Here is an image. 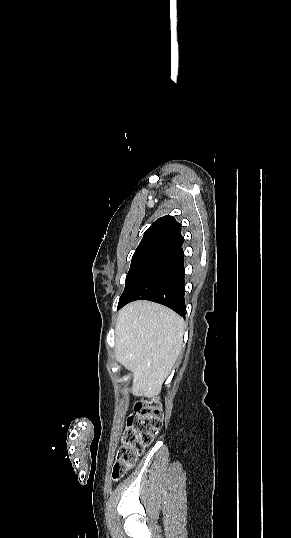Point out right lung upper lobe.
I'll use <instances>...</instances> for the list:
<instances>
[{"instance_id":"obj_1","label":"right lung upper lobe","mask_w":291,"mask_h":538,"mask_svg":"<svg viewBox=\"0 0 291 538\" xmlns=\"http://www.w3.org/2000/svg\"><path fill=\"white\" fill-rule=\"evenodd\" d=\"M181 225L173 216L166 215L157 219L144 233L136 251L150 248L175 250L182 246Z\"/></svg>"}]
</instances>
